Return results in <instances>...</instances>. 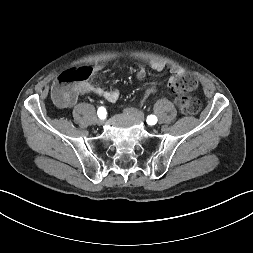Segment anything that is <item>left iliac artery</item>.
<instances>
[{"label": "left iliac artery", "instance_id": "left-iliac-artery-1", "mask_svg": "<svg viewBox=\"0 0 253 253\" xmlns=\"http://www.w3.org/2000/svg\"><path fill=\"white\" fill-rule=\"evenodd\" d=\"M157 122V117L155 115H150L147 117V123L149 125H154Z\"/></svg>", "mask_w": 253, "mask_h": 253}]
</instances>
